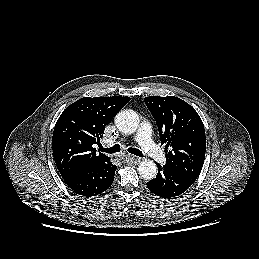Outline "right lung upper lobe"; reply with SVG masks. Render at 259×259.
<instances>
[{
    "mask_svg": "<svg viewBox=\"0 0 259 259\" xmlns=\"http://www.w3.org/2000/svg\"><path fill=\"white\" fill-rule=\"evenodd\" d=\"M129 100L120 96L84 97L63 111L52 137L53 156L62 177L110 159L96 154L93 145L100 144L105 126Z\"/></svg>",
    "mask_w": 259,
    "mask_h": 259,
    "instance_id": "right-lung-upper-lobe-1",
    "label": "right lung upper lobe"
}]
</instances>
